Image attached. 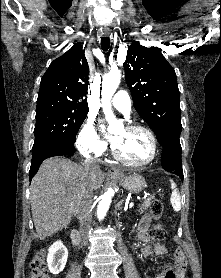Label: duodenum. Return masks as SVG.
Returning a JSON list of instances; mask_svg holds the SVG:
<instances>
[{"label": "duodenum", "mask_w": 221, "mask_h": 278, "mask_svg": "<svg viewBox=\"0 0 221 278\" xmlns=\"http://www.w3.org/2000/svg\"><path fill=\"white\" fill-rule=\"evenodd\" d=\"M79 233L77 230H73L71 233V240H72V244L74 245V247H77L79 244Z\"/></svg>", "instance_id": "1"}]
</instances>
